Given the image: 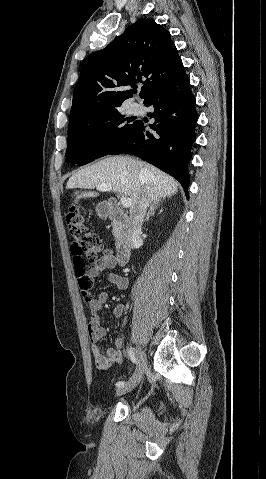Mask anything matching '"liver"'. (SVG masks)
<instances>
[{
	"label": "liver",
	"instance_id": "liver-1",
	"mask_svg": "<svg viewBox=\"0 0 266 479\" xmlns=\"http://www.w3.org/2000/svg\"><path fill=\"white\" fill-rule=\"evenodd\" d=\"M110 185L113 191L132 199V208L137 204L141 192L146 189L149 200H161L171 197L178 191L177 181L145 162L127 156H114L84 168L72 175L67 188L94 189L100 185ZM99 196L93 191L83 192L76 197L93 198Z\"/></svg>",
	"mask_w": 266,
	"mask_h": 479
}]
</instances>
